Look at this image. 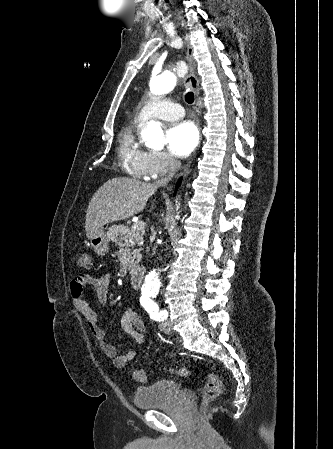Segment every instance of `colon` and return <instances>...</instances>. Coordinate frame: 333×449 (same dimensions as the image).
<instances>
[{
    "instance_id": "1",
    "label": "colon",
    "mask_w": 333,
    "mask_h": 449,
    "mask_svg": "<svg viewBox=\"0 0 333 449\" xmlns=\"http://www.w3.org/2000/svg\"><path fill=\"white\" fill-rule=\"evenodd\" d=\"M91 262V254L89 250L84 249L81 251L79 256V263L82 267L87 268L90 266ZM173 372L178 376H189L192 374V370L186 367L174 369ZM134 378L137 381H144L146 379V375L144 370L138 369L134 372ZM222 391V383L218 376L213 373H209L206 376V384L202 391V400L204 404H210L214 402L221 394Z\"/></svg>"
}]
</instances>
